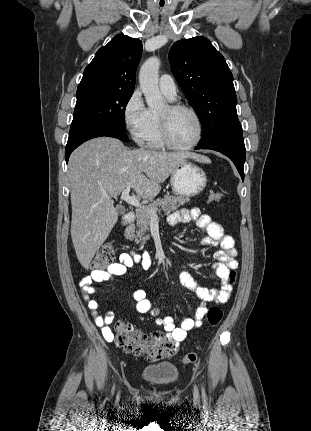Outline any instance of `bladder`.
Segmentation results:
<instances>
[{
	"label": "bladder",
	"instance_id": "1",
	"mask_svg": "<svg viewBox=\"0 0 311 431\" xmlns=\"http://www.w3.org/2000/svg\"><path fill=\"white\" fill-rule=\"evenodd\" d=\"M141 377L146 382L157 386H171L177 382L179 371L172 363L161 362L143 368Z\"/></svg>",
	"mask_w": 311,
	"mask_h": 431
}]
</instances>
